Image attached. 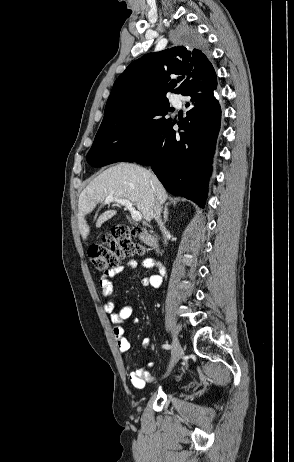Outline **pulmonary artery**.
I'll use <instances>...</instances> for the list:
<instances>
[{
  "instance_id": "e3ab8cb5",
  "label": "pulmonary artery",
  "mask_w": 294,
  "mask_h": 462,
  "mask_svg": "<svg viewBox=\"0 0 294 462\" xmlns=\"http://www.w3.org/2000/svg\"><path fill=\"white\" fill-rule=\"evenodd\" d=\"M173 99H174V101H175L176 103L179 102V98H178L177 96H174Z\"/></svg>"
}]
</instances>
